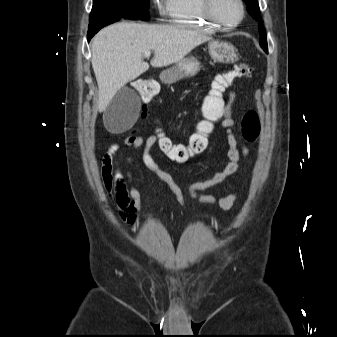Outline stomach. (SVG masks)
<instances>
[{"label": "stomach", "mask_w": 337, "mask_h": 337, "mask_svg": "<svg viewBox=\"0 0 337 337\" xmlns=\"http://www.w3.org/2000/svg\"><path fill=\"white\" fill-rule=\"evenodd\" d=\"M208 50L212 59L219 62H234L238 58L236 48L224 41L209 42ZM200 68V61L190 55L177 62L173 67L164 70L160 74V79L164 83H174L180 79L195 76L200 71Z\"/></svg>", "instance_id": "stomach-1"}]
</instances>
